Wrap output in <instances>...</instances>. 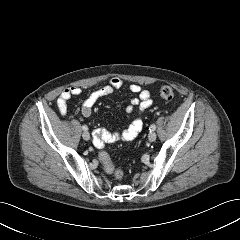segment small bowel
Listing matches in <instances>:
<instances>
[{"label":"small bowel","mask_w":240,"mask_h":240,"mask_svg":"<svg viewBox=\"0 0 240 240\" xmlns=\"http://www.w3.org/2000/svg\"><path fill=\"white\" fill-rule=\"evenodd\" d=\"M123 85L121 79L113 77L109 80V83L89 94L82 103L81 114L83 117L88 118L92 114L94 104L102 97L112 94L115 90L120 89ZM129 90L132 93L137 94L130 100V103L126 106V111L132 113L135 109H138V115L132 120L130 125L123 130L109 131L106 129H97L94 131L93 136L95 142L99 145L105 143L114 142H129L136 138L139 132L142 130L144 121L142 112L149 108L152 104L150 93L148 90L143 89L138 84H131ZM82 92L78 86H71L65 88L57 99V108L61 115L67 114V102L74 96L80 95Z\"/></svg>","instance_id":"obj_1"}]
</instances>
